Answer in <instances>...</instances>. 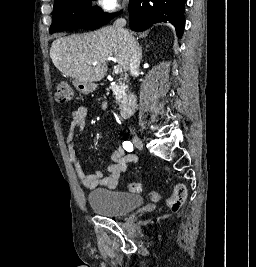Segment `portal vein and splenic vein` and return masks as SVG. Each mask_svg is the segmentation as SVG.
<instances>
[{"label":"portal vein and splenic vein","mask_w":256,"mask_h":267,"mask_svg":"<svg viewBox=\"0 0 256 267\" xmlns=\"http://www.w3.org/2000/svg\"><path fill=\"white\" fill-rule=\"evenodd\" d=\"M113 72H115V74H118V72H122V68H120V66H114Z\"/></svg>","instance_id":"obj_1"}]
</instances>
